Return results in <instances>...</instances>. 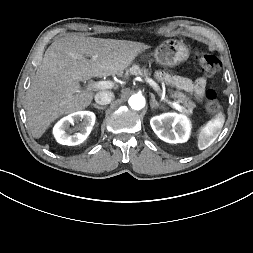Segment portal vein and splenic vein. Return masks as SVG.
Returning a JSON list of instances; mask_svg holds the SVG:
<instances>
[{"instance_id": "obj_1", "label": "portal vein and splenic vein", "mask_w": 253, "mask_h": 253, "mask_svg": "<svg viewBox=\"0 0 253 253\" xmlns=\"http://www.w3.org/2000/svg\"><path fill=\"white\" fill-rule=\"evenodd\" d=\"M145 79L156 91L160 90L158 84L154 80H152L149 77H146ZM113 87H114V82L110 80L95 82L94 84L91 85V88H94L97 90L111 89ZM170 104L173 108H175L179 112H182L184 110L183 107L176 102H170Z\"/></svg>"}]
</instances>
